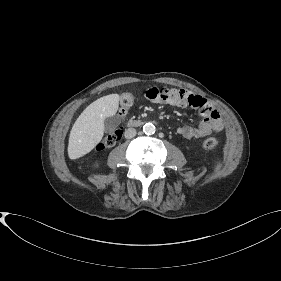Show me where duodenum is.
Here are the masks:
<instances>
[{"label": "duodenum", "instance_id": "1", "mask_svg": "<svg viewBox=\"0 0 281 281\" xmlns=\"http://www.w3.org/2000/svg\"><path fill=\"white\" fill-rule=\"evenodd\" d=\"M142 124H143V122L141 120L131 119L127 122V127L134 128V127H139Z\"/></svg>", "mask_w": 281, "mask_h": 281}]
</instances>
